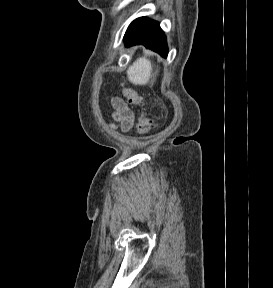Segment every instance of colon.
<instances>
[{
    "instance_id": "1",
    "label": "colon",
    "mask_w": 273,
    "mask_h": 288,
    "mask_svg": "<svg viewBox=\"0 0 273 288\" xmlns=\"http://www.w3.org/2000/svg\"><path fill=\"white\" fill-rule=\"evenodd\" d=\"M123 96L125 99L133 105H141L142 104V97L140 94L133 88H124L122 90ZM152 128V120L151 118L142 113L137 121L136 129L137 132L141 135L147 134Z\"/></svg>"
}]
</instances>
